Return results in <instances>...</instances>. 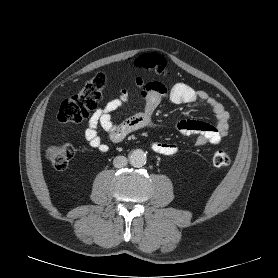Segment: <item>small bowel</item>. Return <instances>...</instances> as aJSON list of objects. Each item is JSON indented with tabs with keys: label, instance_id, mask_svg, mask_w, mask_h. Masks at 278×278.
I'll list each match as a JSON object with an SVG mask.
<instances>
[{
	"label": "small bowel",
	"instance_id": "obj_1",
	"mask_svg": "<svg viewBox=\"0 0 278 278\" xmlns=\"http://www.w3.org/2000/svg\"><path fill=\"white\" fill-rule=\"evenodd\" d=\"M135 88L144 104L142 111L120 123L113 121L112 113L121 108L129 98L128 90L122 89L118 97L110 100L103 107L95 109L91 114L84 131L85 140L91 148L100 152L109 150V146L99 136V128L107 133L113 143H118L130 133L149 125L163 99H169L175 104L203 102L208 105L215 116V125L197 120H182L176 124V129L180 134L196 136V145H218L229 132V113L221 102L204 90H196L183 82L167 87L161 82H145L142 78H136ZM151 149L166 156L175 155L179 151L176 144L161 141H153Z\"/></svg>",
	"mask_w": 278,
	"mask_h": 278
}]
</instances>
